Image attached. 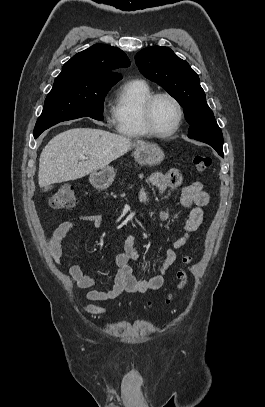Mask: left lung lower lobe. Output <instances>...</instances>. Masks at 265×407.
Segmentation results:
<instances>
[{"instance_id": "left-lung-lower-lobe-1", "label": "left lung lower lobe", "mask_w": 265, "mask_h": 407, "mask_svg": "<svg viewBox=\"0 0 265 407\" xmlns=\"http://www.w3.org/2000/svg\"><path fill=\"white\" fill-rule=\"evenodd\" d=\"M217 152H218V154L220 155V156H224L223 155V152L219 149V148H217L216 146H212Z\"/></svg>"}]
</instances>
